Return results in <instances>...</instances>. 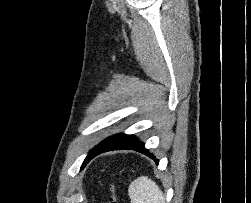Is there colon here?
<instances>
[{
    "label": "colon",
    "mask_w": 251,
    "mask_h": 203,
    "mask_svg": "<svg viewBox=\"0 0 251 203\" xmlns=\"http://www.w3.org/2000/svg\"><path fill=\"white\" fill-rule=\"evenodd\" d=\"M109 203H117V199L115 196V189H114V185L111 186V195L109 198Z\"/></svg>",
    "instance_id": "colon-1"
}]
</instances>
